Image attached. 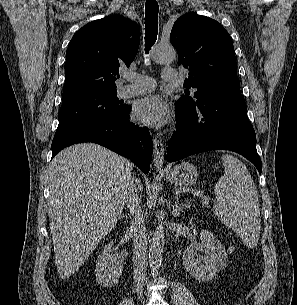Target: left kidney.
<instances>
[{"mask_svg":"<svg viewBox=\"0 0 297 305\" xmlns=\"http://www.w3.org/2000/svg\"><path fill=\"white\" fill-rule=\"evenodd\" d=\"M200 238L201 243H193L185 249L183 264L196 280L207 282L226 265L228 256L220 241L210 231L202 230ZM198 252L205 255H198Z\"/></svg>","mask_w":297,"mask_h":305,"instance_id":"left-kidney-1","label":"left kidney"}]
</instances>
